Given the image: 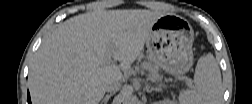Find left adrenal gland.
<instances>
[{
	"instance_id": "a2214340",
	"label": "left adrenal gland",
	"mask_w": 252,
	"mask_h": 104,
	"mask_svg": "<svg viewBox=\"0 0 252 104\" xmlns=\"http://www.w3.org/2000/svg\"><path fill=\"white\" fill-rule=\"evenodd\" d=\"M161 90H162L161 86H159V87H152L149 84H146V91L148 93H151L152 91H161Z\"/></svg>"
}]
</instances>
